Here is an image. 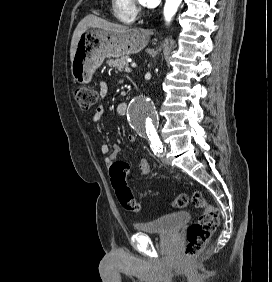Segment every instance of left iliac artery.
<instances>
[{
	"mask_svg": "<svg viewBox=\"0 0 272 282\" xmlns=\"http://www.w3.org/2000/svg\"><path fill=\"white\" fill-rule=\"evenodd\" d=\"M150 147L152 148L153 152H157V153H162L163 152V145H162V142L160 141L159 138H156V139H152L151 140V145Z\"/></svg>",
	"mask_w": 272,
	"mask_h": 282,
	"instance_id": "obj_1",
	"label": "left iliac artery"
}]
</instances>
